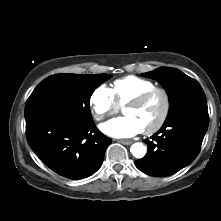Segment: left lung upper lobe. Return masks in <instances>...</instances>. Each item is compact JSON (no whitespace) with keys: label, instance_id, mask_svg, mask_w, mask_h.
I'll return each mask as SVG.
<instances>
[{"label":"left lung upper lobe","instance_id":"obj_1","mask_svg":"<svg viewBox=\"0 0 221 221\" xmlns=\"http://www.w3.org/2000/svg\"><path fill=\"white\" fill-rule=\"evenodd\" d=\"M141 75L158 80L167 91L170 104L167 118L188 105L207 102L200 84L180 70L161 67Z\"/></svg>","mask_w":221,"mask_h":221}]
</instances>
